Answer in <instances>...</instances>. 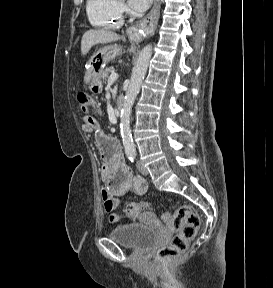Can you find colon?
I'll return each mask as SVG.
<instances>
[{
	"mask_svg": "<svg viewBox=\"0 0 273 288\" xmlns=\"http://www.w3.org/2000/svg\"><path fill=\"white\" fill-rule=\"evenodd\" d=\"M78 100L86 113L99 110L97 104L84 93L79 94ZM148 207L149 204L145 202L129 203L125 207V213L131 218H136L143 209ZM162 221L168 229L175 232V235L167 246L157 251L155 262L160 265H168L186 252L189 243L198 232L201 220L192 206L181 205L174 213H164Z\"/></svg>",
	"mask_w": 273,
	"mask_h": 288,
	"instance_id": "colon-1",
	"label": "colon"
}]
</instances>
